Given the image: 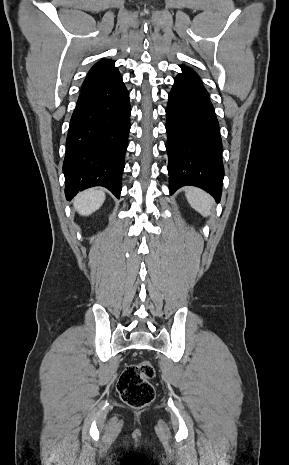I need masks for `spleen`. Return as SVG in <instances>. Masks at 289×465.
Returning a JSON list of instances; mask_svg holds the SVG:
<instances>
[{"instance_id":"1","label":"spleen","mask_w":289,"mask_h":465,"mask_svg":"<svg viewBox=\"0 0 289 465\" xmlns=\"http://www.w3.org/2000/svg\"><path fill=\"white\" fill-rule=\"evenodd\" d=\"M185 195L192 208L205 217L210 215L214 200L208 193L196 187H186Z\"/></svg>"}]
</instances>
